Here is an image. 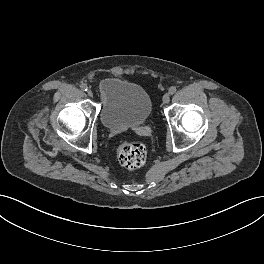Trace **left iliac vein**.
Instances as JSON below:
<instances>
[{
	"instance_id": "obj_1",
	"label": "left iliac vein",
	"mask_w": 264,
	"mask_h": 264,
	"mask_svg": "<svg viewBox=\"0 0 264 264\" xmlns=\"http://www.w3.org/2000/svg\"><path fill=\"white\" fill-rule=\"evenodd\" d=\"M170 100V95L168 93L164 94L162 101L164 104H167Z\"/></svg>"
}]
</instances>
